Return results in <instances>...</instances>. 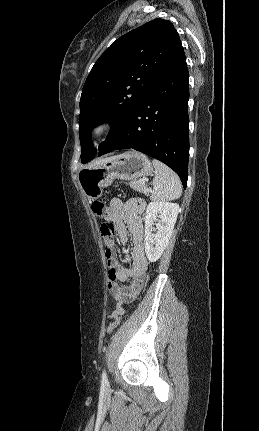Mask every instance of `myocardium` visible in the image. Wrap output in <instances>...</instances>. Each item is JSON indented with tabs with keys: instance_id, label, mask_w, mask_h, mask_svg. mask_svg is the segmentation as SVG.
Instances as JSON below:
<instances>
[{
	"instance_id": "obj_1",
	"label": "myocardium",
	"mask_w": 259,
	"mask_h": 431,
	"mask_svg": "<svg viewBox=\"0 0 259 431\" xmlns=\"http://www.w3.org/2000/svg\"><path fill=\"white\" fill-rule=\"evenodd\" d=\"M117 120L112 114L101 116L91 127L93 138H102L110 134L116 127Z\"/></svg>"
}]
</instances>
